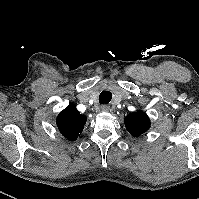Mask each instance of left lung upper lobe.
Instances as JSON below:
<instances>
[{
  "label": "left lung upper lobe",
  "mask_w": 199,
  "mask_h": 199,
  "mask_svg": "<svg viewBox=\"0 0 199 199\" xmlns=\"http://www.w3.org/2000/svg\"><path fill=\"white\" fill-rule=\"evenodd\" d=\"M126 129L133 136H140L150 128V119L147 114L141 110L130 113L124 119Z\"/></svg>",
  "instance_id": "left-lung-upper-lobe-1"
}]
</instances>
